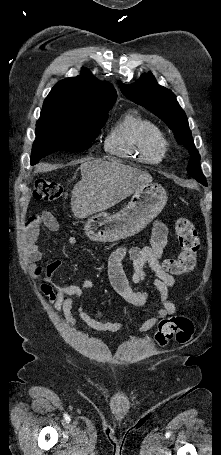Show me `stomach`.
<instances>
[{
  "instance_id": "0dacf381",
  "label": "stomach",
  "mask_w": 221,
  "mask_h": 455,
  "mask_svg": "<svg viewBox=\"0 0 221 455\" xmlns=\"http://www.w3.org/2000/svg\"><path fill=\"white\" fill-rule=\"evenodd\" d=\"M167 193L159 184L136 190L128 205L115 214L100 211L85 221L86 236L94 242H114L142 231L164 208Z\"/></svg>"
}]
</instances>
